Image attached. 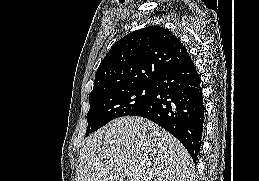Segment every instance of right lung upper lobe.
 I'll use <instances>...</instances> for the list:
<instances>
[{"label":"right lung upper lobe","instance_id":"1","mask_svg":"<svg viewBox=\"0 0 259 181\" xmlns=\"http://www.w3.org/2000/svg\"><path fill=\"white\" fill-rule=\"evenodd\" d=\"M188 56L181 41L163 27L134 31L117 41L104 57L89 96L108 89L154 83L160 74Z\"/></svg>","mask_w":259,"mask_h":181}]
</instances>
